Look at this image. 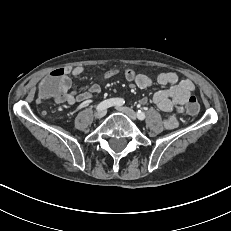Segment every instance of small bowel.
Returning a JSON list of instances; mask_svg holds the SVG:
<instances>
[{"mask_svg": "<svg viewBox=\"0 0 231 231\" xmlns=\"http://www.w3.org/2000/svg\"><path fill=\"white\" fill-rule=\"evenodd\" d=\"M61 70L64 72V77L58 85L61 97L55 101L59 103L67 102L70 105H74L79 102L89 101L101 93V87L97 83L90 84L84 90H71V77L83 74L85 71L83 66H66L61 68ZM133 82L142 91L148 88L168 86V88L156 91L153 94L152 101L159 110L168 113L163 120L164 126L167 129L176 128L178 126L177 114L183 113V109L187 105L186 100L188 96L193 95L195 89L194 83L189 79L180 80L175 72H162L155 78H151L143 73H137V77ZM147 101L148 99L145 97L140 100V103L146 104Z\"/></svg>", "mask_w": 231, "mask_h": 231, "instance_id": "c3829d8e", "label": "small bowel"}]
</instances>
